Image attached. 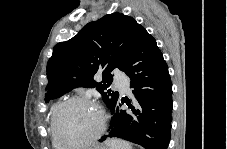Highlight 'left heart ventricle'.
Here are the masks:
<instances>
[{
	"instance_id": "1",
	"label": "left heart ventricle",
	"mask_w": 227,
	"mask_h": 149,
	"mask_svg": "<svg viewBox=\"0 0 227 149\" xmlns=\"http://www.w3.org/2000/svg\"><path fill=\"white\" fill-rule=\"evenodd\" d=\"M100 123L95 106L76 102L66 106L59 118V132L66 142H75L91 136Z\"/></svg>"
}]
</instances>
